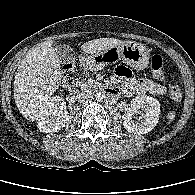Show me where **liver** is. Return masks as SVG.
<instances>
[{
  "instance_id": "6515ba94",
  "label": "liver",
  "mask_w": 195,
  "mask_h": 195,
  "mask_svg": "<svg viewBox=\"0 0 195 195\" xmlns=\"http://www.w3.org/2000/svg\"><path fill=\"white\" fill-rule=\"evenodd\" d=\"M126 42L100 38L84 43L81 50L98 54ZM61 78V63L52 40L40 43L26 54L17 68L13 89L15 104L24 118L32 122L40 118L43 105L53 97Z\"/></svg>"
}]
</instances>
